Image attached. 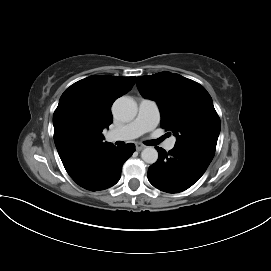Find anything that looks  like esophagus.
<instances>
[{"instance_id": "34e87169", "label": "esophagus", "mask_w": 271, "mask_h": 271, "mask_svg": "<svg viewBox=\"0 0 271 271\" xmlns=\"http://www.w3.org/2000/svg\"><path fill=\"white\" fill-rule=\"evenodd\" d=\"M145 147H146V146L143 145V144H141V143H137V144H136V150H137V151H141V150H143Z\"/></svg>"}]
</instances>
